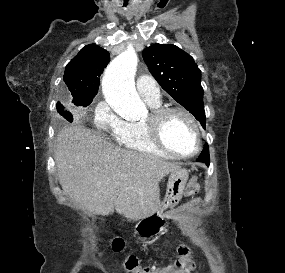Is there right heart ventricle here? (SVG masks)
I'll list each match as a JSON object with an SVG mask.
<instances>
[{
  "label": "right heart ventricle",
  "mask_w": 285,
  "mask_h": 273,
  "mask_svg": "<svg viewBox=\"0 0 285 273\" xmlns=\"http://www.w3.org/2000/svg\"><path fill=\"white\" fill-rule=\"evenodd\" d=\"M152 108L160 107V103H149ZM118 144L138 153L170 157L159 149L149 138L143 123H127L125 129L117 136Z\"/></svg>",
  "instance_id": "obj_1"
}]
</instances>
